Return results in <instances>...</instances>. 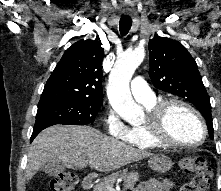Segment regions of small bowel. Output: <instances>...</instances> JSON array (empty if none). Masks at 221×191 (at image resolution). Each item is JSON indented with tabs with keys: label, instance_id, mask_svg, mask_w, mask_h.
<instances>
[{
	"label": "small bowel",
	"instance_id": "obj_1",
	"mask_svg": "<svg viewBox=\"0 0 221 191\" xmlns=\"http://www.w3.org/2000/svg\"><path fill=\"white\" fill-rule=\"evenodd\" d=\"M173 189L182 191V187L171 180H146L140 183L134 191H172Z\"/></svg>",
	"mask_w": 221,
	"mask_h": 191
}]
</instances>
